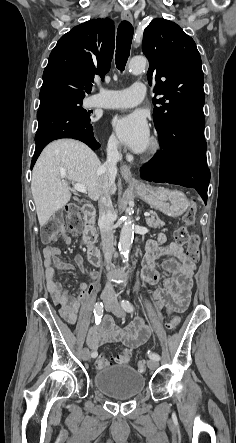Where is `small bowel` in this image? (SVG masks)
<instances>
[{
    "mask_svg": "<svg viewBox=\"0 0 236 443\" xmlns=\"http://www.w3.org/2000/svg\"><path fill=\"white\" fill-rule=\"evenodd\" d=\"M63 242L71 244V239L64 236ZM165 237L160 235L158 241H149L146 247V255L143 259L141 279L147 284H158L152 293V300L157 310L166 309L169 313L184 312L190 302L192 277L195 273V264L184 253L181 245L171 243L164 246ZM44 268L47 288L54 302L60 307L62 316L70 323H74L80 306V301L95 289L84 282H79L80 294L69 296L67 290L55 279L57 271H71L75 265L60 259V249L57 247H45L43 250ZM163 258L162 268L174 274L173 277H162L157 267V259ZM76 266L93 279L97 274L84 266L81 255L75 256ZM150 335V329L143 320L137 318L132 325L125 329H119L114 324L110 315H104L98 324H94L88 334L87 343L92 350H97L106 343L121 342L130 349H135L145 343Z\"/></svg>",
    "mask_w": 236,
    "mask_h": 443,
    "instance_id": "obj_1",
    "label": "small bowel"
}]
</instances>
